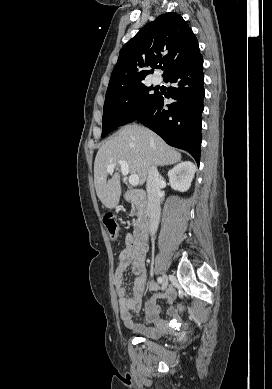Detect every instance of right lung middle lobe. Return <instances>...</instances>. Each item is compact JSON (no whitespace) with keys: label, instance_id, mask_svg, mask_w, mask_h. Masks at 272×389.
Returning a JSON list of instances; mask_svg holds the SVG:
<instances>
[{"label":"right lung middle lobe","instance_id":"obj_1","mask_svg":"<svg viewBox=\"0 0 272 389\" xmlns=\"http://www.w3.org/2000/svg\"><path fill=\"white\" fill-rule=\"evenodd\" d=\"M144 83L113 90L106 93L103 118L102 135L105 137L117 127L135 120L158 97V91H152Z\"/></svg>","mask_w":272,"mask_h":389}]
</instances>
